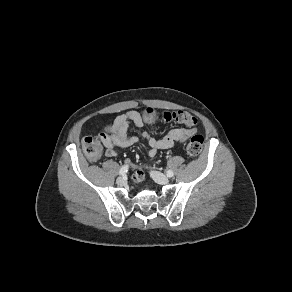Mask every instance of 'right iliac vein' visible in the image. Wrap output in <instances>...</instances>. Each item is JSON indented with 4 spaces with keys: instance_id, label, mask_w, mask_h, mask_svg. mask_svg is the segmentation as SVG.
<instances>
[{
    "instance_id": "right-iliac-vein-1",
    "label": "right iliac vein",
    "mask_w": 292,
    "mask_h": 292,
    "mask_svg": "<svg viewBox=\"0 0 292 292\" xmlns=\"http://www.w3.org/2000/svg\"><path fill=\"white\" fill-rule=\"evenodd\" d=\"M116 182L118 185L123 186L126 184V179L124 177H119Z\"/></svg>"
}]
</instances>
